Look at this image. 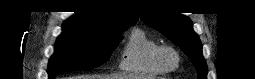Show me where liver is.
I'll return each instance as SVG.
<instances>
[{
  "label": "liver",
  "instance_id": "6515ba94",
  "mask_svg": "<svg viewBox=\"0 0 255 79\" xmlns=\"http://www.w3.org/2000/svg\"><path fill=\"white\" fill-rule=\"evenodd\" d=\"M151 79L150 77L144 76H128V75H86L78 76L75 79Z\"/></svg>",
  "mask_w": 255,
  "mask_h": 79
}]
</instances>
